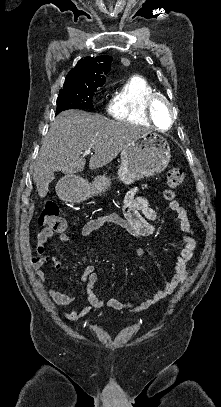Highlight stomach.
Masks as SVG:
<instances>
[{"label": "stomach", "instance_id": "1", "mask_svg": "<svg viewBox=\"0 0 221 407\" xmlns=\"http://www.w3.org/2000/svg\"><path fill=\"white\" fill-rule=\"evenodd\" d=\"M170 146L158 133L148 131L129 142L121 152L117 172L119 180L126 184L161 173L169 164ZM105 175L96 176L92 184L78 176H67L58 188L59 196L69 203H80L92 196L101 195L110 187Z\"/></svg>", "mask_w": 221, "mask_h": 407}]
</instances>
